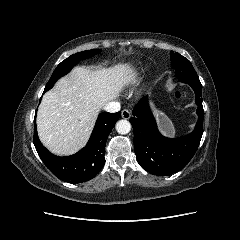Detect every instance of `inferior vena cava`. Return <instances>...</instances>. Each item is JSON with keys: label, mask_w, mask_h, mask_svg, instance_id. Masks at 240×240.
<instances>
[{"label": "inferior vena cava", "mask_w": 240, "mask_h": 240, "mask_svg": "<svg viewBox=\"0 0 240 240\" xmlns=\"http://www.w3.org/2000/svg\"><path fill=\"white\" fill-rule=\"evenodd\" d=\"M120 103L117 101H110L106 103L103 107V109L107 112L114 113L118 112L120 110Z\"/></svg>", "instance_id": "obj_1"}]
</instances>
